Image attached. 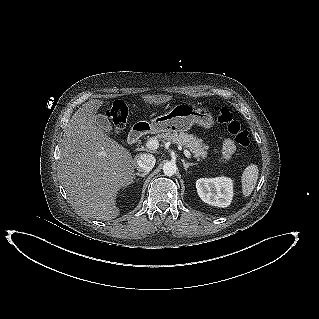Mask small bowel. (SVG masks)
<instances>
[{"label":"small bowel","instance_id":"obj_1","mask_svg":"<svg viewBox=\"0 0 319 319\" xmlns=\"http://www.w3.org/2000/svg\"><path fill=\"white\" fill-rule=\"evenodd\" d=\"M236 146L235 143L233 142V140L231 139H225L223 144H222V149H221V157L220 160L221 161H228L229 159H231V157L233 156L234 152H235Z\"/></svg>","mask_w":319,"mask_h":319}]
</instances>
